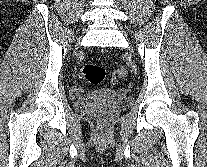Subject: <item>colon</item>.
<instances>
[{"instance_id":"1","label":"colon","mask_w":207,"mask_h":167,"mask_svg":"<svg viewBox=\"0 0 207 167\" xmlns=\"http://www.w3.org/2000/svg\"><path fill=\"white\" fill-rule=\"evenodd\" d=\"M80 76L91 84H100L105 78V69L96 64H85L80 70ZM127 76V70L120 68L110 78V84L116 85Z\"/></svg>"}]
</instances>
